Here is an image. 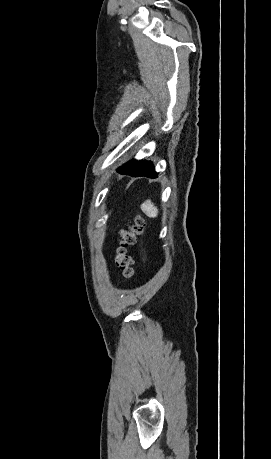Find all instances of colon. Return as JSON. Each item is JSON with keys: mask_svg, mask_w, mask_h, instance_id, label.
Here are the masks:
<instances>
[{"mask_svg": "<svg viewBox=\"0 0 271 459\" xmlns=\"http://www.w3.org/2000/svg\"><path fill=\"white\" fill-rule=\"evenodd\" d=\"M143 220L140 217L134 219L133 223L120 234L118 245L113 258L114 266L119 269L125 277L134 275V262L128 252V247L136 242L137 236L142 232Z\"/></svg>", "mask_w": 271, "mask_h": 459, "instance_id": "colon-1", "label": "colon"}]
</instances>
